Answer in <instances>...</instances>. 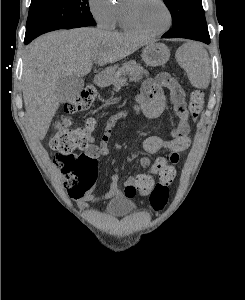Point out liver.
Wrapping results in <instances>:
<instances>
[{"label":"liver","mask_w":245,"mask_h":300,"mask_svg":"<svg viewBox=\"0 0 245 300\" xmlns=\"http://www.w3.org/2000/svg\"><path fill=\"white\" fill-rule=\"evenodd\" d=\"M149 43L141 36L87 27L50 32L31 42L24 57L23 99L36 136L45 138L59 108L60 79L83 77L91 72L94 59L100 66L115 63Z\"/></svg>","instance_id":"liver-1"}]
</instances>
